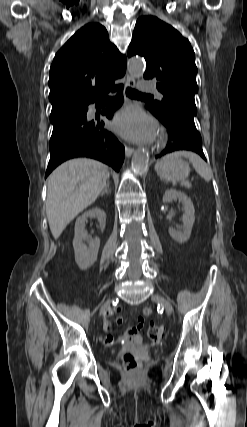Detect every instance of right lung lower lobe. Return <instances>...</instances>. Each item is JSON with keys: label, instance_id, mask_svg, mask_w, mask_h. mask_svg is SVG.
<instances>
[{"label": "right lung lower lobe", "instance_id": "1", "mask_svg": "<svg viewBox=\"0 0 247 427\" xmlns=\"http://www.w3.org/2000/svg\"><path fill=\"white\" fill-rule=\"evenodd\" d=\"M123 85L116 86L119 90ZM96 102L102 106L104 97L85 105L63 106L51 111L50 121L53 132L49 143L50 160L45 178L62 162L76 157H89L102 161L119 171L125 156V149L117 138L103 128L104 119L87 117L88 105ZM123 98H119L107 109L102 111L105 118L111 119L113 110L120 107Z\"/></svg>", "mask_w": 247, "mask_h": 427}]
</instances>
